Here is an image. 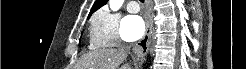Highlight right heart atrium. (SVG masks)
Returning <instances> with one entry per match:
<instances>
[{"instance_id":"obj_1","label":"right heart atrium","mask_w":246,"mask_h":69,"mask_svg":"<svg viewBox=\"0 0 246 69\" xmlns=\"http://www.w3.org/2000/svg\"><path fill=\"white\" fill-rule=\"evenodd\" d=\"M119 16L108 7L96 11L91 18L89 37L93 48L113 47L120 41Z\"/></svg>"}]
</instances>
